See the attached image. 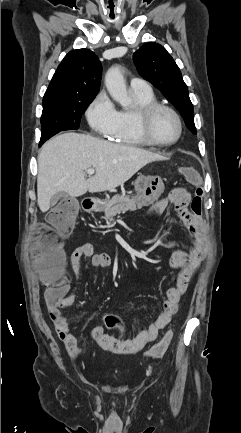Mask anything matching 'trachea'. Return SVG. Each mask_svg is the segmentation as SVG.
I'll return each instance as SVG.
<instances>
[{
    "label": "trachea",
    "instance_id": "3493384b",
    "mask_svg": "<svg viewBox=\"0 0 241 433\" xmlns=\"http://www.w3.org/2000/svg\"><path fill=\"white\" fill-rule=\"evenodd\" d=\"M110 9H115V4H110ZM110 19H111V22H116V17H115V11H110Z\"/></svg>",
    "mask_w": 241,
    "mask_h": 433
}]
</instances>
